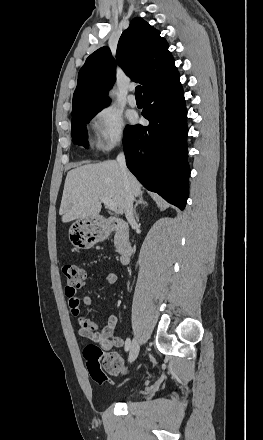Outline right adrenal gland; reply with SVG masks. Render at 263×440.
<instances>
[{
  "label": "right adrenal gland",
  "mask_w": 263,
  "mask_h": 440,
  "mask_svg": "<svg viewBox=\"0 0 263 440\" xmlns=\"http://www.w3.org/2000/svg\"><path fill=\"white\" fill-rule=\"evenodd\" d=\"M140 204L148 205V203L144 200V198H143L142 195H139V196H138V200L136 201V204H135L134 209H133V213H134V216H135V218H136L137 221H138L139 218H138V214H137V212H136V208H137V206L140 205Z\"/></svg>",
  "instance_id": "right-adrenal-gland-1"
}]
</instances>
